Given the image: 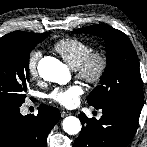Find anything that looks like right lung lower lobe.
I'll return each mask as SVG.
<instances>
[{"mask_svg":"<svg viewBox=\"0 0 147 147\" xmlns=\"http://www.w3.org/2000/svg\"><path fill=\"white\" fill-rule=\"evenodd\" d=\"M19 107L0 106V147H46L47 135L59 121V110L41 105L37 116H22Z\"/></svg>","mask_w":147,"mask_h":147,"instance_id":"obj_1","label":"right lung lower lobe"}]
</instances>
